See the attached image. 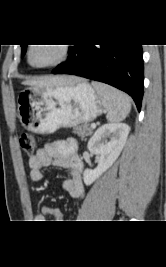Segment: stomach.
Returning <instances> with one entry per match:
<instances>
[{"label": "stomach", "mask_w": 166, "mask_h": 267, "mask_svg": "<svg viewBox=\"0 0 166 267\" xmlns=\"http://www.w3.org/2000/svg\"><path fill=\"white\" fill-rule=\"evenodd\" d=\"M103 112L99 94L86 81L73 85L32 86L18 96V117L24 129L52 134L95 120Z\"/></svg>", "instance_id": "1"}]
</instances>
